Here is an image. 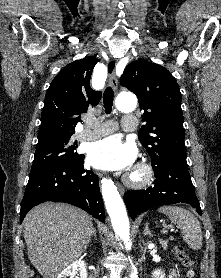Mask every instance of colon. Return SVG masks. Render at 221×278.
Returning <instances> with one entry per match:
<instances>
[{"mask_svg": "<svg viewBox=\"0 0 221 278\" xmlns=\"http://www.w3.org/2000/svg\"><path fill=\"white\" fill-rule=\"evenodd\" d=\"M175 254L179 261L182 263L186 270L185 278H195V262L194 260L187 254L185 248L181 245H177L174 248Z\"/></svg>", "mask_w": 221, "mask_h": 278, "instance_id": "colon-1", "label": "colon"}]
</instances>
